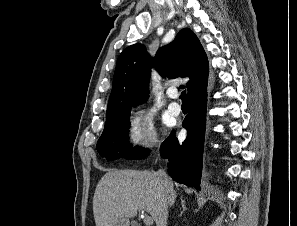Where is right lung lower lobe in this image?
Instances as JSON below:
<instances>
[{
    "mask_svg": "<svg viewBox=\"0 0 297 226\" xmlns=\"http://www.w3.org/2000/svg\"><path fill=\"white\" fill-rule=\"evenodd\" d=\"M188 100L189 113L182 124L187 130L186 140L179 143L172 132L161 145L160 155L168 159V173L173 180L200 190L206 126V87L192 93Z\"/></svg>",
    "mask_w": 297,
    "mask_h": 226,
    "instance_id": "right-lung-lower-lobe-1",
    "label": "right lung lower lobe"
}]
</instances>
